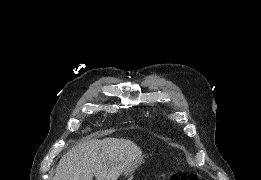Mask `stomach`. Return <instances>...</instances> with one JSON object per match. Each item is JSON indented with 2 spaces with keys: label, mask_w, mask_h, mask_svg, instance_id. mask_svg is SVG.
I'll list each match as a JSON object with an SVG mask.
<instances>
[{
  "label": "stomach",
  "mask_w": 261,
  "mask_h": 180,
  "mask_svg": "<svg viewBox=\"0 0 261 180\" xmlns=\"http://www.w3.org/2000/svg\"><path fill=\"white\" fill-rule=\"evenodd\" d=\"M142 162V157L134 160L124 171V175H129L135 171V169L141 164Z\"/></svg>",
  "instance_id": "stomach-1"
}]
</instances>
